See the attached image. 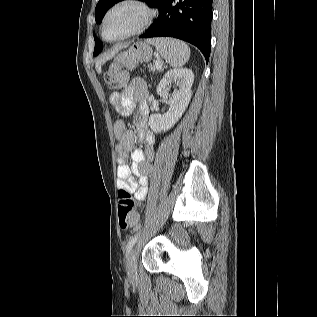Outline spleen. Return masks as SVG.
Here are the masks:
<instances>
[{"label": "spleen", "instance_id": "obj_1", "mask_svg": "<svg viewBox=\"0 0 317 317\" xmlns=\"http://www.w3.org/2000/svg\"><path fill=\"white\" fill-rule=\"evenodd\" d=\"M172 67H182L189 60L190 48L183 41L172 38L147 40Z\"/></svg>", "mask_w": 317, "mask_h": 317}]
</instances>
